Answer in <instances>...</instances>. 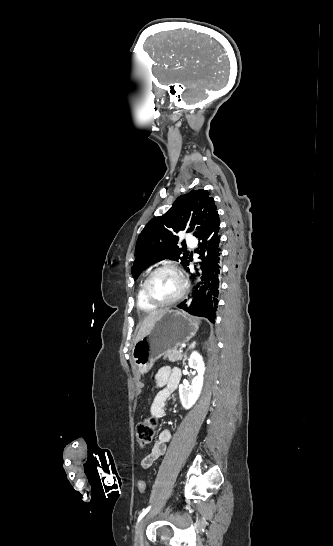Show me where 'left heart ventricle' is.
Instances as JSON below:
<instances>
[{
    "label": "left heart ventricle",
    "mask_w": 333,
    "mask_h": 546,
    "mask_svg": "<svg viewBox=\"0 0 333 546\" xmlns=\"http://www.w3.org/2000/svg\"><path fill=\"white\" fill-rule=\"evenodd\" d=\"M180 291V281L177 275L169 270L155 274L149 283V292L160 301L174 298Z\"/></svg>",
    "instance_id": "b2bd125f"
}]
</instances>
